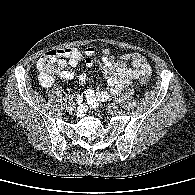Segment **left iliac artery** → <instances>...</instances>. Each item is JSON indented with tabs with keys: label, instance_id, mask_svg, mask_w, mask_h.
<instances>
[{
	"label": "left iliac artery",
	"instance_id": "obj_1",
	"mask_svg": "<svg viewBox=\"0 0 195 195\" xmlns=\"http://www.w3.org/2000/svg\"><path fill=\"white\" fill-rule=\"evenodd\" d=\"M114 102L119 103L120 100H119L118 98H115V99H114Z\"/></svg>",
	"mask_w": 195,
	"mask_h": 195
}]
</instances>
